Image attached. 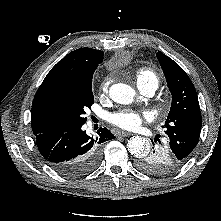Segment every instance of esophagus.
<instances>
[{"instance_id": "obj_1", "label": "esophagus", "mask_w": 221, "mask_h": 221, "mask_svg": "<svg viewBox=\"0 0 221 221\" xmlns=\"http://www.w3.org/2000/svg\"><path fill=\"white\" fill-rule=\"evenodd\" d=\"M130 135H131V133L126 132V131H118L116 133V136H118V137H127V136H130Z\"/></svg>"}]
</instances>
